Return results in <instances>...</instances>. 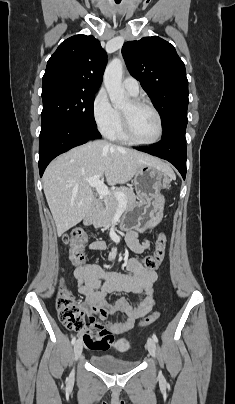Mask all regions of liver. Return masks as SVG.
<instances>
[{
	"label": "liver",
	"instance_id": "obj_1",
	"mask_svg": "<svg viewBox=\"0 0 235 404\" xmlns=\"http://www.w3.org/2000/svg\"><path fill=\"white\" fill-rule=\"evenodd\" d=\"M144 165L156 166L174 176L170 165L162 160L104 140L75 147L52 161L43 175V190L58 235L89 213L94 195L87 179L102 175L110 185L123 184Z\"/></svg>",
	"mask_w": 235,
	"mask_h": 404
}]
</instances>
